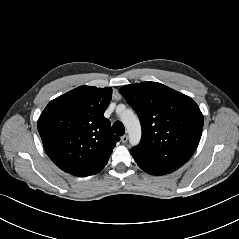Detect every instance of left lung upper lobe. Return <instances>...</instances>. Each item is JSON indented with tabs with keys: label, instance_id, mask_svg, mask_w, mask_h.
Masks as SVG:
<instances>
[{
	"label": "left lung upper lobe",
	"instance_id": "1",
	"mask_svg": "<svg viewBox=\"0 0 239 239\" xmlns=\"http://www.w3.org/2000/svg\"><path fill=\"white\" fill-rule=\"evenodd\" d=\"M119 91L141 121V142L131 149L135 161L161 174L184 165L198 147L204 124L193 99L158 82L126 85Z\"/></svg>",
	"mask_w": 239,
	"mask_h": 239
}]
</instances>
